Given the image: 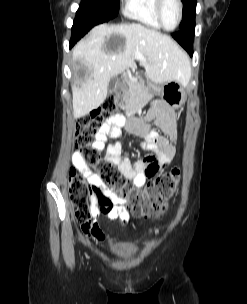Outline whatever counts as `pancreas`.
Returning a JSON list of instances; mask_svg holds the SVG:
<instances>
[{"mask_svg":"<svg viewBox=\"0 0 247 304\" xmlns=\"http://www.w3.org/2000/svg\"><path fill=\"white\" fill-rule=\"evenodd\" d=\"M127 86H131V89H124L121 97V108L127 115L136 113L143 103L151 100L156 93L155 86H146L142 80L128 82Z\"/></svg>","mask_w":247,"mask_h":304,"instance_id":"1","label":"pancreas"}]
</instances>
